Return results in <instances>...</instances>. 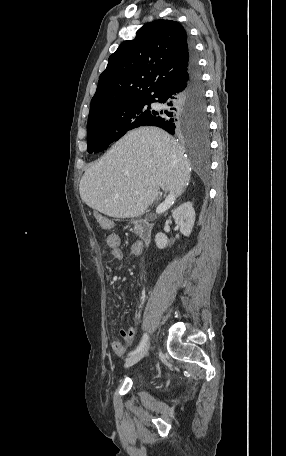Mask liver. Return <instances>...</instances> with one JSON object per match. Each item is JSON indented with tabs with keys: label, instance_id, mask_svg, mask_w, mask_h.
I'll use <instances>...</instances> for the list:
<instances>
[{
	"label": "liver",
	"instance_id": "obj_1",
	"mask_svg": "<svg viewBox=\"0 0 286 456\" xmlns=\"http://www.w3.org/2000/svg\"><path fill=\"white\" fill-rule=\"evenodd\" d=\"M190 180V164L176 140L157 127L127 133L84 173L83 202L114 218L137 217L157 199L158 188L177 197Z\"/></svg>",
	"mask_w": 286,
	"mask_h": 456
}]
</instances>
